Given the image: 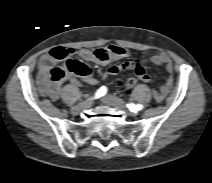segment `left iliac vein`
<instances>
[{
    "mask_svg": "<svg viewBox=\"0 0 212 183\" xmlns=\"http://www.w3.org/2000/svg\"><path fill=\"white\" fill-rule=\"evenodd\" d=\"M102 100L104 103L109 104L111 106H115L120 109H126L125 103L121 99H119L113 95H107V96L103 97ZM128 114L131 116L135 115V113H131V112H128Z\"/></svg>",
    "mask_w": 212,
    "mask_h": 183,
    "instance_id": "left-iliac-vein-1",
    "label": "left iliac vein"
}]
</instances>
